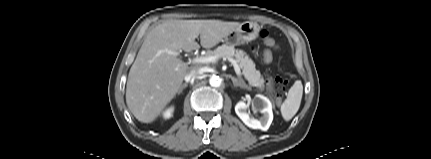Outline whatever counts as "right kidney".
I'll return each mask as SVG.
<instances>
[{"label": "right kidney", "mask_w": 431, "mask_h": 159, "mask_svg": "<svg viewBox=\"0 0 431 159\" xmlns=\"http://www.w3.org/2000/svg\"><path fill=\"white\" fill-rule=\"evenodd\" d=\"M172 111H173V109H172V108H171V109L166 110V111L164 112V114H163L164 118H170V117H171V114H172Z\"/></svg>", "instance_id": "obj_1"}]
</instances>
